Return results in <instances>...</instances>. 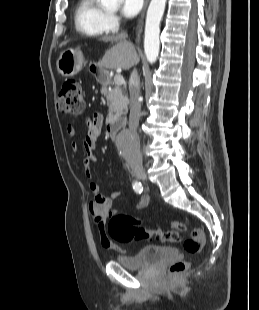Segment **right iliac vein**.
I'll return each mask as SVG.
<instances>
[{
	"label": "right iliac vein",
	"mask_w": 259,
	"mask_h": 310,
	"mask_svg": "<svg viewBox=\"0 0 259 310\" xmlns=\"http://www.w3.org/2000/svg\"><path fill=\"white\" fill-rule=\"evenodd\" d=\"M132 171L134 172L135 176L140 180H147V174L141 164H135L132 166Z\"/></svg>",
	"instance_id": "right-iliac-vein-1"
}]
</instances>
